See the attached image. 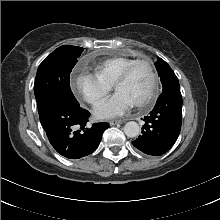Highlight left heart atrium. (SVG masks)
I'll return each instance as SVG.
<instances>
[{"label": "left heart atrium", "instance_id": "obj_1", "mask_svg": "<svg viewBox=\"0 0 220 220\" xmlns=\"http://www.w3.org/2000/svg\"><path fill=\"white\" fill-rule=\"evenodd\" d=\"M134 105L133 101L123 92H117L111 98L100 103L94 110L98 119H108L126 113Z\"/></svg>", "mask_w": 220, "mask_h": 220}]
</instances>
